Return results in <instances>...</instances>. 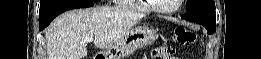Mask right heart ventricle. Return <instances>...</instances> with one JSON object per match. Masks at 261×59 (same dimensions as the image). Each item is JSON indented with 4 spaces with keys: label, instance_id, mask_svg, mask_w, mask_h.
<instances>
[{
    "label": "right heart ventricle",
    "instance_id": "e07e8e85",
    "mask_svg": "<svg viewBox=\"0 0 261 59\" xmlns=\"http://www.w3.org/2000/svg\"><path fill=\"white\" fill-rule=\"evenodd\" d=\"M119 4L124 5V6H135V1L134 0H118L117 1ZM139 10H147L146 8H139Z\"/></svg>",
    "mask_w": 261,
    "mask_h": 59
}]
</instances>
